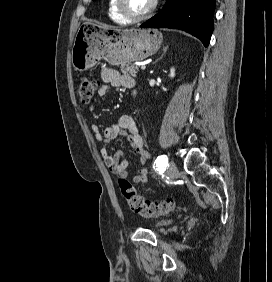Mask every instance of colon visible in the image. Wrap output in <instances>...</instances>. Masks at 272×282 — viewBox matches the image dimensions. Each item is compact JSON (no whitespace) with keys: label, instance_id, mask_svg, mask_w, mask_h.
I'll list each match as a JSON object with an SVG mask.
<instances>
[{"label":"colon","instance_id":"5ec220e1","mask_svg":"<svg viewBox=\"0 0 272 282\" xmlns=\"http://www.w3.org/2000/svg\"><path fill=\"white\" fill-rule=\"evenodd\" d=\"M100 88L99 82L86 77H81L77 86V93L82 103H90ZM119 189L122 197L129 208L136 214L144 218H157L167 215L175 210L176 202L173 199H167L160 202H151L144 200L136 188L125 178L119 176Z\"/></svg>","mask_w":272,"mask_h":282}]
</instances>
